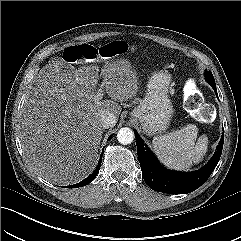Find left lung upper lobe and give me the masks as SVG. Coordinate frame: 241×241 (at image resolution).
Returning a JSON list of instances; mask_svg holds the SVG:
<instances>
[{"mask_svg":"<svg viewBox=\"0 0 241 241\" xmlns=\"http://www.w3.org/2000/svg\"><path fill=\"white\" fill-rule=\"evenodd\" d=\"M206 79L207 81L210 83H215V80H214V77L212 75V72L211 71H206Z\"/></svg>","mask_w":241,"mask_h":241,"instance_id":"1","label":"left lung upper lobe"}]
</instances>
